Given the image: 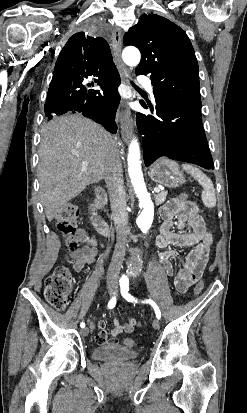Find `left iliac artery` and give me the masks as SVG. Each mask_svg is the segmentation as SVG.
Listing matches in <instances>:
<instances>
[{
	"label": "left iliac artery",
	"mask_w": 247,
	"mask_h": 413,
	"mask_svg": "<svg viewBox=\"0 0 247 413\" xmlns=\"http://www.w3.org/2000/svg\"><path fill=\"white\" fill-rule=\"evenodd\" d=\"M128 291H129V285H128V284H124V285L121 286V295H122L128 302H135V303H137V299H135L133 296H131V295L128 293ZM142 303H149V304L153 307L157 319H160V318H161L160 309H159V307L157 306V304H156L153 300L148 299V300L142 301Z\"/></svg>",
	"instance_id": "1"
}]
</instances>
